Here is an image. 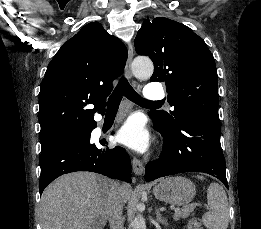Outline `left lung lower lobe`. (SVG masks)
Listing matches in <instances>:
<instances>
[{
    "label": "left lung lower lobe",
    "instance_id": "left-lung-lower-lobe-1",
    "mask_svg": "<svg viewBox=\"0 0 261 229\" xmlns=\"http://www.w3.org/2000/svg\"><path fill=\"white\" fill-rule=\"evenodd\" d=\"M153 126L161 133L164 146L160 158L146 165V181L197 171L215 176L228 188L219 121L192 115L175 132L165 131L155 120Z\"/></svg>",
    "mask_w": 261,
    "mask_h": 229
}]
</instances>
